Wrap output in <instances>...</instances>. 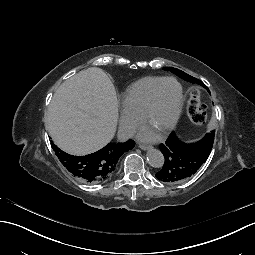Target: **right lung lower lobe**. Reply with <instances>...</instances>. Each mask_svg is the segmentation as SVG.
Here are the masks:
<instances>
[{"mask_svg":"<svg viewBox=\"0 0 255 255\" xmlns=\"http://www.w3.org/2000/svg\"><path fill=\"white\" fill-rule=\"evenodd\" d=\"M83 178L85 180H92L94 176L100 173V162L94 159L93 155L86 154L83 157Z\"/></svg>","mask_w":255,"mask_h":255,"instance_id":"right-lung-lower-lobe-1","label":"right lung lower lobe"}]
</instances>
